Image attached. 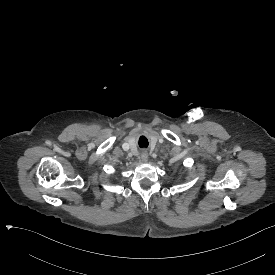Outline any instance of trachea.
Listing matches in <instances>:
<instances>
[{"label": "trachea", "mask_w": 275, "mask_h": 275, "mask_svg": "<svg viewBox=\"0 0 275 275\" xmlns=\"http://www.w3.org/2000/svg\"><path fill=\"white\" fill-rule=\"evenodd\" d=\"M142 138H144V137H142ZM139 146H140L141 148L147 147V146H148V141L146 140V141L140 142V140H139Z\"/></svg>", "instance_id": "obj_1"}]
</instances>
